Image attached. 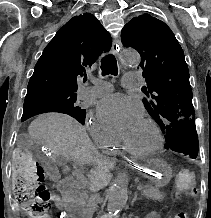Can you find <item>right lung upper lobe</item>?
I'll list each match as a JSON object with an SVG mask.
<instances>
[{"mask_svg":"<svg viewBox=\"0 0 211 218\" xmlns=\"http://www.w3.org/2000/svg\"><path fill=\"white\" fill-rule=\"evenodd\" d=\"M110 34L90 13L71 18L45 47L30 78L25 102L77 91V77L85 74L104 51Z\"/></svg>","mask_w":211,"mask_h":218,"instance_id":"cb5924a9","label":"right lung upper lobe"}]
</instances>
